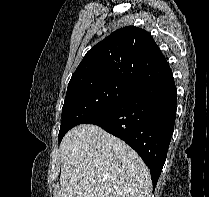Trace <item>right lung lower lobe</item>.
<instances>
[{"instance_id":"98d812e1","label":"right lung lower lobe","mask_w":209,"mask_h":197,"mask_svg":"<svg viewBox=\"0 0 209 197\" xmlns=\"http://www.w3.org/2000/svg\"><path fill=\"white\" fill-rule=\"evenodd\" d=\"M177 90L172 72L90 117L132 147L150 169L153 187L166 160L176 117Z\"/></svg>"}]
</instances>
